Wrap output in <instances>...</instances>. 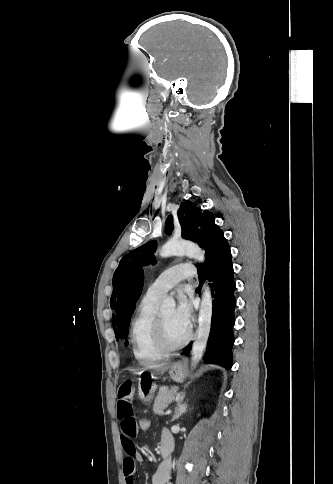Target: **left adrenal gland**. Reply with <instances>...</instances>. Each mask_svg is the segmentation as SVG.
<instances>
[{
    "label": "left adrenal gland",
    "instance_id": "obj_1",
    "mask_svg": "<svg viewBox=\"0 0 333 484\" xmlns=\"http://www.w3.org/2000/svg\"><path fill=\"white\" fill-rule=\"evenodd\" d=\"M187 411V404L186 402L183 403V396L180 398L179 402L177 403V407L175 410V415L172 418V421L178 419L183 413Z\"/></svg>",
    "mask_w": 333,
    "mask_h": 484
}]
</instances>
